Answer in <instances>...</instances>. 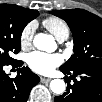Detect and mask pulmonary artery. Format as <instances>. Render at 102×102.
I'll use <instances>...</instances> for the list:
<instances>
[{
    "instance_id": "1",
    "label": "pulmonary artery",
    "mask_w": 102,
    "mask_h": 102,
    "mask_svg": "<svg viewBox=\"0 0 102 102\" xmlns=\"http://www.w3.org/2000/svg\"><path fill=\"white\" fill-rule=\"evenodd\" d=\"M64 40H60L59 42H63Z\"/></svg>"
}]
</instances>
